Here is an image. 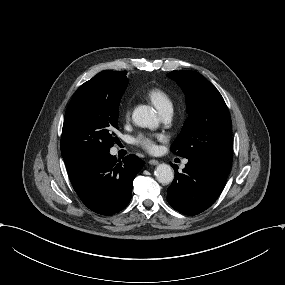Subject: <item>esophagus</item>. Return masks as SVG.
<instances>
[{
	"mask_svg": "<svg viewBox=\"0 0 285 285\" xmlns=\"http://www.w3.org/2000/svg\"><path fill=\"white\" fill-rule=\"evenodd\" d=\"M150 165H157L159 162L155 159H151L149 162H148Z\"/></svg>",
	"mask_w": 285,
	"mask_h": 285,
	"instance_id": "1",
	"label": "esophagus"
}]
</instances>
